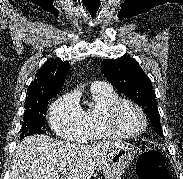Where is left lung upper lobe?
I'll return each mask as SVG.
<instances>
[{
	"label": "left lung upper lobe",
	"mask_w": 183,
	"mask_h": 179,
	"mask_svg": "<svg viewBox=\"0 0 183 179\" xmlns=\"http://www.w3.org/2000/svg\"><path fill=\"white\" fill-rule=\"evenodd\" d=\"M101 71L117 90L145 107L155 132L163 136L156 95L150 79L139 64L134 59L123 56L115 60H105L101 64Z\"/></svg>",
	"instance_id": "5c2ea615"
}]
</instances>
